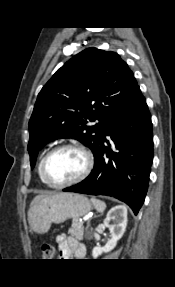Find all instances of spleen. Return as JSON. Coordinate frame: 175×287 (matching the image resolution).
Returning <instances> with one entry per match:
<instances>
[{"instance_id": "spleen-1", "label": "spleen", "mask_w": 175, "mask_h": 287, "mask_svg": "<svg viewBox=\"0 0 175 287\" xmlns=\"http://www.w3.org/2000/svg\"><path fill=\"white\" fill-rule=\"evenodd\" d=\"M91 202L93 203L96 210L99 212H103L106 208V204L99 199L91 198Z\"/></svg>"}]
</instances>
